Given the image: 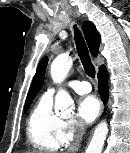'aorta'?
<instances>
[{
	"label": "aorta",
	"instance_id": "obj_1",
	"mask_svg": "<svg viewBox=\"0 0 130 153\" xmlns=\"http://www.w3.org/2000/svg\"><path fill=\"white\" fill-rule=\"evenodd\" d=\"M72 66V59L61 54L57 56L51 64V77L55 83H61L66 78ZM74 110V101L63 89H59L55 96V111L60 114L70 115ZM108 134L106 121L99 123L94 131L93 137L86 149V153H101Z\"/></svg>",
	"mask_w": 130,
	"mask_h": 153
}]
</instances>
